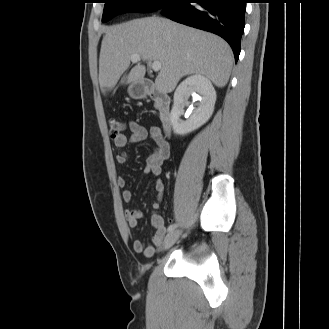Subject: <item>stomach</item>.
Wrapping results in <instances>:
<instances>
[{
  "label": "stomach",
  "mask_w": 329,
  "mask_h": 329,
  "mask_svg": "<svg viewBox=\"0 0 329 329\" xmlns=\"http://www.w3.org/2000/svg\"><path fill=\"white\" fill-rule=\"evenodd\" d=\"M128 93L134 99H141L148 93V87L143 81H135L129 85Z\"/></svg>",
  "instance_id": "0dacf381"
}]
</instances>
